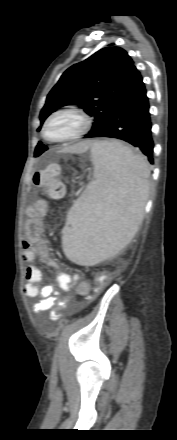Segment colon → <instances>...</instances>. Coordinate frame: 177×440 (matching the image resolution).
I'll return each mask as SVG.
<instances>
[{"mask_svg":"<svg viewBox=\"0 0 177 440\" xmlns=\"http://www.w3.org/2000/svg\"><path fill=\"white\" fill-rule=\"evenodd\" d=\"M33 182L50 198L59 199L65 193V187L61 181V169L58 165H51L45 170L36 171L33 175ZM100 290L101 285L98 284L94 289V295L87 296L86 301L93 299Z\"/></svg>","mask_w":177,"mask_h":440,"instance_id":"colon-1","label":"colon"}]
</instances>
